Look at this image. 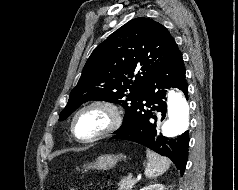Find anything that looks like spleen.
I'll use <instances>...</instances> for the list:
<instances>
[{
  "mask_svg": "<svg viewBox=\"0 0 238 190\" xmlns=\"http://www.w3.org/2000/svg\"><path fill=\"white\" fill-rule=\"evenodd\" d=\"M147 166L145 168V176L149 179L156 178L166 172L170 167V160L162 157L157 153L146 150Z\"/></svg>",
  "mask_w": 238,
  "mask_h": 190,
  "instance_id": "obj_1",
  "label": "spleen"
}]
</instances>
